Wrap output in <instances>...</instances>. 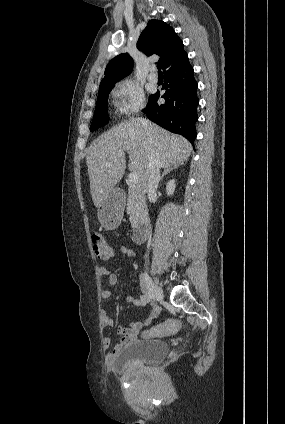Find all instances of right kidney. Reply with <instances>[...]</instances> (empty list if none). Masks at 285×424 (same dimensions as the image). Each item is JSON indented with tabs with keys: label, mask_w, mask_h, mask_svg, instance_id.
Returning <instances> with one entry per match:
<instances>
[{
	"label": "right kidney",
	"mask_w": 285,
	"mask_h": 424,
	"mask_svg": "<svg viewBox=\"0 0 285 424\" xmlns=\"http://www.w3.org/2000/svg\"><path fill=\"white\" fill-rule=\"evenodd\" d=\"M175 190V180H170L166 185V193L168 196L173 195Z\"/></svg>",
	"instance_id": "ca27d5eb"
}]
</instances>
